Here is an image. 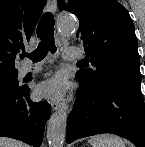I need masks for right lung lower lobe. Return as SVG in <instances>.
<instances>
[{"label":"right lung lower lobe","instance_id":"1","mask_svg":"<svg viewBox=\"0 0 145 147\" xmlns=\"http://www.w3.org/2000/svg\"><path fill=\"white\" fill-rule=\"evenodd\" d=\"M49 117V104L32 102L27 86L13 92L0 91V136L40 147Z\"/></svg>","mask_w":145,"mask_h":147}]
</instances>
